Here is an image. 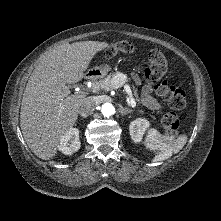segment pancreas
<instances>
[{
    "label": "pancreas",
    "instance_id": "cf45deb5",
    "mask_svg": "<svg viewBox=\"0 0 221 221\" xmlns=\"http://www.w3.org/2000/svg\"><path fill=\"white\" fill-rule=\"evenodd\" d=\"M116 78L122 84L129 82L128 78L124 74H122L120 72H116V73L109 74L106 78H104L102 80L95 81L93 83L92 90L95 93H98L102 89L108 90V89L112 88L113 82L115 81ZM132 89H133V96L135 97V100L137 102H140L136 88L134 86H132Z\"/></svg>",
    "mask_w": 221,
    "mask_h": 221
}]
</instances>
